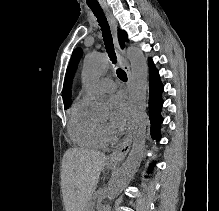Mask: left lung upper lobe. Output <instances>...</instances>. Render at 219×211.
<instances>
[{
  "mask_svg": "<svg viewBox=\"0 0 219 211\" xmlns=\"http://www.w3.org/2000/svg\"><path fill=\"white\" fill-rule=\"evenodd\" d=\"M123 35H124V38L125 40L127 41V36H126V33L123 32ZM81 54H82V50L80 48H77L74 50L73 54H72V58H71V68L72 70H75L76 68V65L81 57Z\"/></svg>",
  "mask_w": 219,
  "mask_h": 211,
  "instance_id": "left-lung-upper-lobe-1",
  "label": "left lung upper lobe"
}]
</instances>
